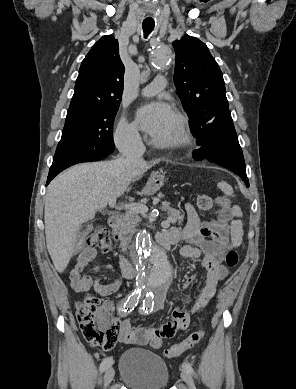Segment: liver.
<instances>
[{
    "mask_svg": "<svg viewBox=\"0 0 296 389\" xmlns=\"http://www.w3.org/2000/svg\"><path fill=\"white\" fill-rule=\"evenodd\" d=\"M151 166L142 158L131 162L119 158L83 163L50 183L45 196V235L49 255L59 273L65 270L76 250L82 225L111 199L129 191V185Z\"/></svg>",
    "mask_w": 296,
    "mask_h": 389,
    "instance_id": "1",
    "label": "liver"
}]
</instances>
